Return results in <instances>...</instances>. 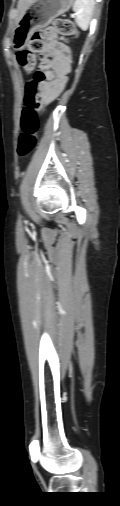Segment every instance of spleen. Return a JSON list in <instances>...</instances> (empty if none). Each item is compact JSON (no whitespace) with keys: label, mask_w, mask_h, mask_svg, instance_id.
Instances as JSON below:
<instances>
[{"label":"spleen","mask_w":120,"mask_h":506,"mask_svg":"<svg viewBox=\"0 0 120 506\" xmlns=\"http://www.w3.org/2000/svg\"><path fill=\"white\" fill-rule=\"evenodd\" d=\"M94 0H75L73 11L76 13L75 22L82 30H87L92 18Z\"/></svg>","instance_id":"spleen-1"}]
</instances>
